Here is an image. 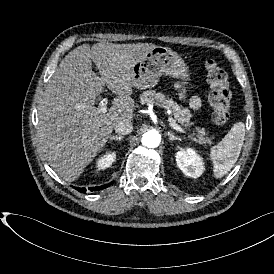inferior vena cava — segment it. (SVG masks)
Returning a JSON list of instances; mask_svg holds the SVG:
<instances>
[{
    "mask_svg": "<svg viewBox=\"0 0 274 274\" xmlns=\"http://www.w3.org/2000/svg\"><path fill=\"white\" fill-rule=\"evenodd\" d=\"M114 129L116 133L126 135L132 132L133 124L130 120H123L117 123Z\"/></svg>",
    "mask_w": 274,
    "mask_h": 274,
    "instance_id": "1",
    "label": "inferior vena cava"
}]
</instances>
